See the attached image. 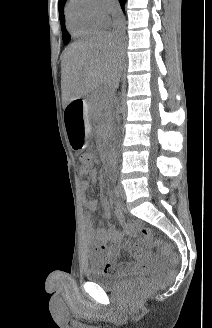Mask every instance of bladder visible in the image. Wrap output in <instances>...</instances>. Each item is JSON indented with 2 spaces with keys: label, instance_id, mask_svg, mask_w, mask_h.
I'll return each mask as SVG.
<instances>
[{
  "label": "bladder",
  "instance_id": "31cf9c89",
  "mask_svg": "<svg viewBox=\"0 0 212 328\" xmlns=\"http://www.w3.org/2000/svg\"><path fill=\"white\" fill-rule=\"evenodd\" d=\"M85 275L89 281L97 283L109 291L121 290L138 277L137 273L123 275L117 273H107L93 268L87 270Z\"/></svg>",
  "mask_w": 212,
  "mask_h": 328
}]
</instances>
